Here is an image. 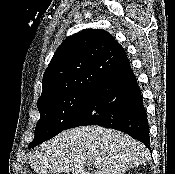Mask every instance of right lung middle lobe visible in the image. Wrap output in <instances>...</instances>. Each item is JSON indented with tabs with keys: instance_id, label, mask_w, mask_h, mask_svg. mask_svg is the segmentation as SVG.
Here are the masks:
<instances>
[{
	"instance_id": "obj_1",
	"label": "right lung middle lobe",
	"mask_w": 175,
	"mask_h": 174,
	"mask_svg": "<svg viewBox=\"0 0 175 174\" xmlns=\"http://www.w3.org/2000/svg\"><path fill=\"white\" fill-rule=\"evenodd\" d=\"M94 86L66 91L38 101L40 119L35 129V137L28 149L66 130L76 117Z\"/></svg>"
}]
</instances>
